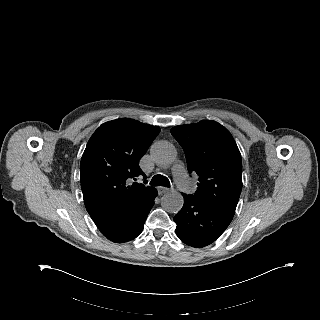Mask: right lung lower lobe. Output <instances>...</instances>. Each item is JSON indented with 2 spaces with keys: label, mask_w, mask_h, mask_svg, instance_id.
I'll return each mask as SVG.
<instances>
[{
  "label": "right lung lower lobe",
  "mask_w": 320,
  "mask_h": 320,
  "mask_svg": "<svg viewBox=\"0 0 320 320\" xmlns=\"http://www.w3.org/2000/svg\"><path fill=\"white\" fill-rule=\"evenodd\" d=\"M156 196L157 190L155 189L142 204L113 217L97 221L95 224L101 233L112 242L123 243L133 240L142 232Z\"/></svg>",
  "instance_id": "obj_1"
}]
</instances>
